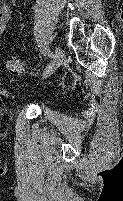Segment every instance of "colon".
<instances>
[{
    "label": "colon",
    "instance_id": "colon-1",
    "mask_svg": "<svg viewBox=\"0 0 123 201\" xmlns=\"http://www.w3.org/2000/svg\"><path fill=\"white\" fill-rule=\"evenodd\" d=\"M26 68L25 62L18 57H11L7 61V69L11 74H21Z\"/></svg>",
    "mask_w": 123,
    "mask_h": 201
}]
</instances>
